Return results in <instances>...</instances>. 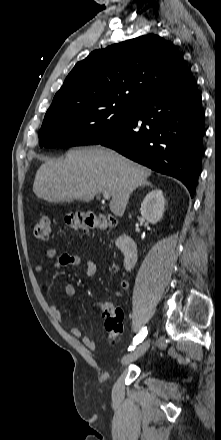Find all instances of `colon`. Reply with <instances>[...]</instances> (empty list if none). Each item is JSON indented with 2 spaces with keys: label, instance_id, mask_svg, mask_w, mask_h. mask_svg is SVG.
<instances>
[{
  "label": "colon",
  "instance_id": "colon-1",
  "mask_svg": "<svg viewBox=\"0 0 221 440\" xmlns=\"http://www.w3.org/2000/svg\"><path fill=\"white\" fill-rule=\"evenodd\" d=\"M116 223L114 217L97 214L92 211L77 210L64 217V224L73 230L100 229L106 230ZM51 222L46 216L39 218L34 225V236L39 240H47L50 236ZM105 317V328L111 344H115L123 330V311L111 303H99L96 306Z\"/></svg>",
  "mask_w": 221,
  "mask_h": 440
}]
</instances>
